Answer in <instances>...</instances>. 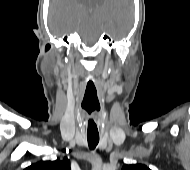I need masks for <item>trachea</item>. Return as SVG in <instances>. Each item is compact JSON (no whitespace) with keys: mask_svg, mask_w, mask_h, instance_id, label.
Returning <instances> with one entry per match:
<instances>
[{"mask_svg":"<svg viewBox=\"0 0 190 170\" xmlns=\"http://www.w3.org/2000/svg\"><path fill=\"white\" fill-rule=\"evenodd\" d=\"M87 140H88V146L90 149H95L96 146L99 143V136H94V135H88L87 136Z\"/></svg>","mask_w":190,"mask_h":170,"instance_id":"trachea-1","label":"trachea"}]
</instances>
